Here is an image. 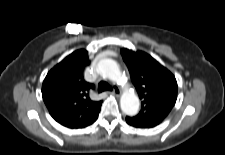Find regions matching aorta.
Returning <instances> with one entry per match:
<instances>
[{
    "instance_id": "obj_1",
    "label": "aorta",
    "mask_w": 225,
    "mask_h": 155,
    "mask_svg": "<svg viewBox=\"0 0 225 155\" xmlns=\"http://www.w3.org/2000/svg\"><path fill=\"white\" fill-rule=\"evenodd\" d=\"M97 72L104 78L112 81H118L121 77V71L118 64L113 59H101L97 64ZM120 106L123 113L129 116L136 115L139 110V98L130 90H125L121 95Z\"/></svg>"
}]
</instances>
